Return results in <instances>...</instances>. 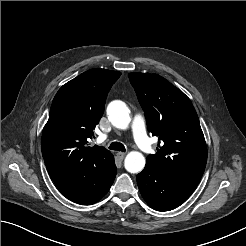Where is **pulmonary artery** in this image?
I'll list each match as a JSON object with an SVG mask.
<instances>
[{"instance_id":"pulmonary-artery-1","label":"pulmonary artery","mask_w":246,"mask_h":246,"mask_svg":"<svg viewBox=\"0 0 246 246\" xmlns=\"http://www.w3.org/2000/svg\"><path fill=\"white\" fill-rule=\"evenodd\" d=\"M131 133L133 136V139L137 146L143 151V152H150L151 145L149 138L146 133V126H145V120L143 116L137 114L134 116L132 123H131Z\"/></svg>"}]
</instances>
